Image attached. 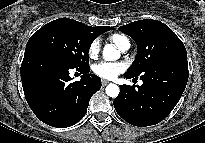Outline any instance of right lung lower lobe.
Masks as SVG:
<instances>
[{"label": "right lung lower lobe", "mask_w": 205, "mask_h": 143, "mask_svg": "<svg viewBox=\"0 0 205 143\" xmlns=\"http://www.w3.org/2000/svg\"><path fill=\"white\" fill-rule=\"evenodd\" d=\"M74 67L57 56L36 48L25 49L20 73L23 91L34 114L45 124L65 128L80 121L87 112L90 98L101 88L98 76L90 69L76 68L83 75L71 82Z\"/></svg>", "instance_id": "obj_1"}]
</instances>
